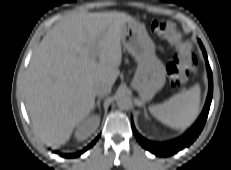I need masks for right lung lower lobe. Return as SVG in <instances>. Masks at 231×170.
<instances>
[{
	"label": "right lung lower lobe",
	"mask_w": 231,
	"mask_h": 170,
	"mask_svg": "<svg viewBox=\"0 0 231 170\" xmlns=\"http://www.w3.org/2000/svg\"><path fill=\"white\" fill-rule=\"evenodd\" d=\"M97 140H98V138H96L91 144H89L86 148H84V150H82L76 154H61V156L67 157V158L77 157L78 155L82 154L84 151L91 148L96 143Z\"/></svg>",
	"instance_id": "98d812e1"
}]
</instances>
